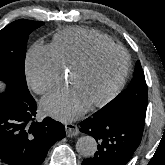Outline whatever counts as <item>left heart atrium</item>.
<instances>
[{"label":"left heart atrium","instance_id":"39dd6f15","mask_svg":"<svg viewBox=\"0 0 165 165\" xmlns=\"http://www.w3.org/2000/svg\"><path fill=\"white\" fill-rule=\"evenodd\" d=\"M90 103L74 86L55 90L41 102L42 110L61 121H70L83 114Z\"/></svg>","mask_w":165,"mask_h":165}]
</instances>
